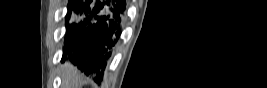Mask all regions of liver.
I'll return each mask as SVG.
<instances>
[{
  "instance_id": "1",
  "label": "liver",
  "mask_w": 267,
  "mask_h": 88,
  "mask_svg": "<svg viewBox=\"0 0 267 88\" xmlns=\"http://www.w3.org/2000/svg\"><path fill=\"white\" fill-rule=\"evenodd\" d=\"M62 78L64 88H77L80 76L74 65L70 62H65L62 66Z\"/></svg>"
}]
</instances>
